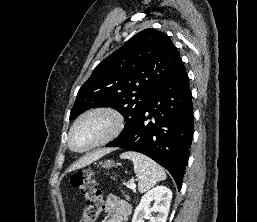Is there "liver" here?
I'll list each match as a JSON object with an SVG mask.
<instances>
[{
  "mask_svg": "<svg viewBox=\"0 0 257 222\" xmlns=\"http://www.w3.org/2000/svg\"><path fill=\"white\" fill-rule=\"evenodd\" d=\"M111 150L110 149H103L100 151H97L93 154H90L86 157H84L83 159L79 160L77 163L73 164L69 169L68 172L73 171L75 169H79L82 168L86 165L91 164L92 162L98 160L99 158H101L102 156L106 155L107 153H109Z\"/></svg>",
  "mask_w": 257,
  "mask_h": 222,
  "instance_id": "1",
  "label": "liver"
}]
</instances>
